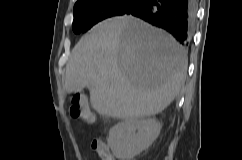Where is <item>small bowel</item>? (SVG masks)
Masks as SVG:
<instances>
[{
    "label": "small bowel",
    "instance_id": "c3829d8e",
    "mask_svg": "<svg viewBox=\"0 0 242 160\" xmlns=\"http://www.w3.org/2000/svg\"><path fill=\"white\" fill-rule=\"evenodd\" d=\"M92 147L94 148V142L92 143ZM101 148L96 149V152H99ZM105 160H115L112 156L106 158Z\"/></svg>",
    "mask_w": 242,
    "mask_h": 160
}]
</instances>
